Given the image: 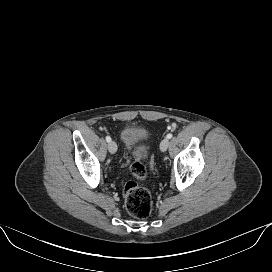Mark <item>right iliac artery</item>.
<instances>
[{
  "label": "right iliac artery",
  "instance_id": "82829eb1",
  "mask_svg": "<svg viewBox=\"0 0 272 272\" xmlns=\"http://www.w3.org/2000/svg\"><path fill=\"white\" fill-rule=\"evenodd\" d=\"M106 141H107L108 143L111 142L110 136H106Z\"/></svg>",
  "mask_w": 272,
  "mask_h": 272
}]
</instances>
